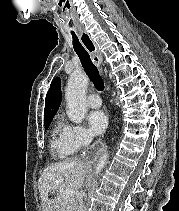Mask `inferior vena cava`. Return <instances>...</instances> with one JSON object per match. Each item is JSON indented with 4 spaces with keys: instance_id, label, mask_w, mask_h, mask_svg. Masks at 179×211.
I'll return each instance as SVG.
<instances>
[{
    "instance_id": "1",
    "label": "inferior vena cava",
    "mask_w": 179,
    "mask_h": 211,
    "mask_svg": "<svg viewBox=\"0 0 179 211\" xmlns=\"http://www.w3.org/2000/svg\"><path fill=\"white\" fill-rule=\"evenodd\" d=\"M90 141H91V137L88 136L87 137V143H89ZM78 211H85V207H84V203H83L82 199L79 202V209H78Z\"/></svg>"
}]
</instances>
